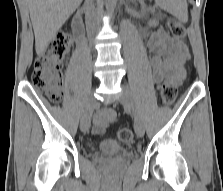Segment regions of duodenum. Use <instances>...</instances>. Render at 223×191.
<instances>
[{
  "mask_svg": "<svg viewBox=\"0 0 223 191\" xmlns=\"http://www.w3.org/2000/svg\"><path fill=\"white\" fill-rule=\"evenodd\" d=\"M73 29H74V32L77 35H79L81 33V27L80 26L74 25Z\"/></svg>",
  "mask_w": 223,
  "mask_h": 191,
  "instance_id": "1",
  "label": "duodenum"
}]
</instances>
